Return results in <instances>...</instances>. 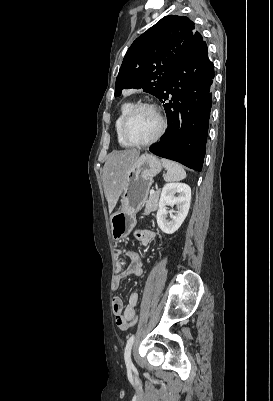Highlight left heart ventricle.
Listing matches in <instances>:
<instances>
[{
	"instance_id": "1",
	"label": "left heart ventricle",
	"mask_w": 273,
	"mask_h": 401,
	"mask_svg": "<svg viewBox=\"0 0 273 401\" xmlns=\"http://www.w3.org/2000/svg\"><path fill=\"white\" fill-rule=\"evenodd\" d=\"M160 129L158 116L150 110L137 111L126 128V135L133 141H146L153 138Z\"/></svg>"
}]
</instances>
